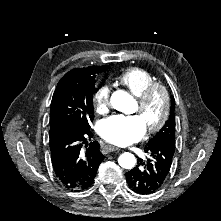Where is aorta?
Masks as SVG:
<instances>
[{
	"label": "aorta",
	"mask_w": 221,
	"mask_h": 221,
	"mask_svg": "<svg viewBox=\"0 0 221 221\" xmlns=\"http://www.w3.org/2000/svg\"><path fill=\"white\" fill-rule=\"evenodd\" d=\"M134 103L133 97L122 90L114 92L111 96V104L118 111L129 112ZM118 163L124 169H132L136 164V158L133 154L125 152L119 156Z\"/></svg>",
	"instance_id": "762f6f07"
}]
</instances>
